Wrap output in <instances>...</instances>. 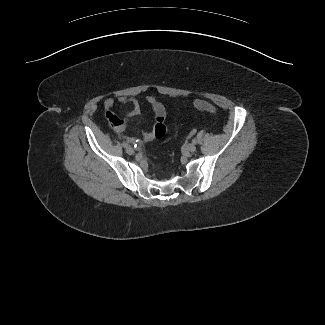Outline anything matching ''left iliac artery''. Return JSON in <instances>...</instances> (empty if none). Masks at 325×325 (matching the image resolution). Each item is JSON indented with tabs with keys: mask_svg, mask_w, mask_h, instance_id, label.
<instances>
[{
	"mask_svg": "<svg viewBox=\"0 0 325 325\" xmlns=\"http://www.w3.org/2000/svg\"><path fill=\"white\" fill-rule=\"evenodd\" d=\"M192 142H193L194 144H196V143H197L196 139H193V140H192Z\"/></svg>",
	"mask_w": 325,
	"mask_h": 325,
	"instance_id": "obj_1",
	"label": "left iliac artery"
}]
</instances>
